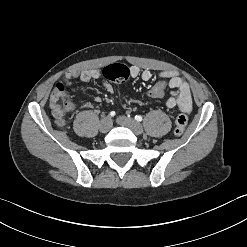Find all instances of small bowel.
<instances>
[{
    "instance_id": "obj_1",
    "label": "small bowel",
    "mask_w": 247,
    "mask_h": 247,
    "mask_svg": "<svg viewBox=\"0 0 247 247\" xmlns=\"http://www.w3.org/2000/svg\"><path fill=\"white\" fill-rule=\"evenodd\" d=\"M101 75V71L98 69L72 70L67 72L59 83H62L65 87H69L73 90V79L78 78L81 81L88 82L99 79ZM130 76L132 78H141L143 81H149L152 77V73L149 70H141L137 66H131ZM159 76L163 82L167 81L171 88L170 96L166 100V106L168 108L178 107L182 112L190 113L192 109L191 91L184 78L173 70L163 71ZM104 87L109 92H112L113 90L112 85L107 82L104 83ZM94 100L100 102L101 98L96 96L94 97Z\"/></svg>"
}]
</instances>
